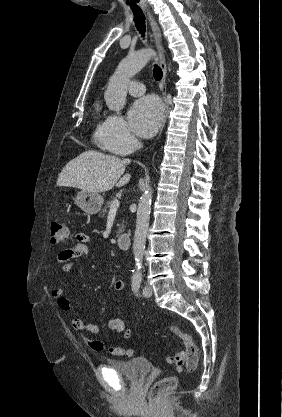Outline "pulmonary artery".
Here are the masks:
<instances>
[{"label":"pulmonary artery","mask_w":282,"mask_h":417,"mask_svg":"<svg viewBox=\"0 0 282 417\" xmlns=\"http://www.w3.org/2000/svg\"><path fill=\"white\" fill-rule=\"evenodd\" d=\"M127 88L129 93L134 96H140L145 92L144 84L136 80L130 81Z\"/></svg>","instance_id":"obj_1"}]
</instances>
